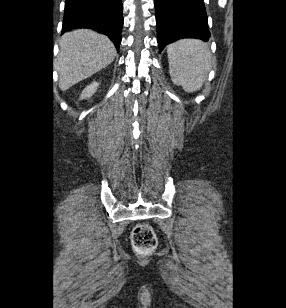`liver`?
Wrapping results in <instances>:
<instances>
[{
	"label": "liver",
	"instance_id": "6515ba94",
	"mask_svg": "<svg viewBox=\"0 0 286 308\" xmlns=\"http://www.w3.org/2000/svg\"><path fill=\"white\" fill-rule=\"evenodd\" d=\"M59 46L57 71L62 91L107 67L116 56L108 37L86 29L65 33Z\"/></svg>",
	"mask_w": 286,
	"mask_h": 308
}]
</instances>
